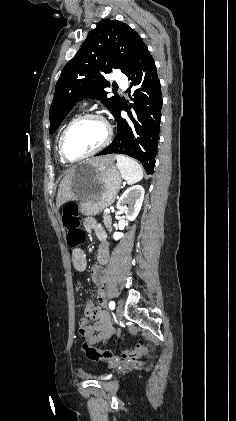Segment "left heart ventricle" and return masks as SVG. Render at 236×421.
Returning <instances> with one entry per match:
<instances>
[{"label": "left heart ventricle", "mask_w": 236, "mask_h": 421, "mask_svg": "<svg viewBox=\"0 0 236 421\" xmlns=\"http://www.w3.org/2000/svg\"><path fill=\"white\" fill-rule=\"evenodd\" d=\"M106 136L105 125L98 120H85L74 126L66 138L70 157H80L98 147Z\"/></svg>", "instance_id": "b2bd125f"}]
</instances>
